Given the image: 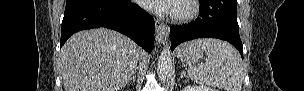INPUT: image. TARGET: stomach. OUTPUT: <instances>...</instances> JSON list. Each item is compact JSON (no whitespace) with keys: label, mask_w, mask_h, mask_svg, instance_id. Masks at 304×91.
I'll list each match as a JSON object with an SVG mask.
<instances>
[{"label":"stomach","mask_w":304,"mask_h":91,"mask_svg":"<svg viewBox=\"0 0 304 91\" xmlns=\"http://www.w3.org/2000/svg\"><path fill=\"white\" fill-rule=\"evenodd\" d=\"M203 56V49L199 47L196 41L182 44L178 49V57L185 63H196Z\"/></svg>","instance_id":"stomach-1"}]
</instances>
